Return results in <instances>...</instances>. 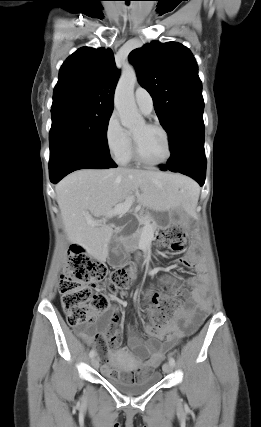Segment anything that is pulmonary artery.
I'll use <instances>...</instances> for the list:
<instances>
[{
    "label": "pulmonary artery",
    "instance_id": "e3ab8cb5",
    "mask_svg": "<svg viewBox=\"0 0 261 427\" xmlns=\"http://www.w3.org/2000/svg\"><path fill=\"white\" fill-rule=\"evenodd\" d=\"M135 101L139 109L146 115L153 110V99L150 93L143 87H138L135 91Z\"/></svg>",
    "mask_w": 261,
    "mask_h": 427
}]
</instances>
